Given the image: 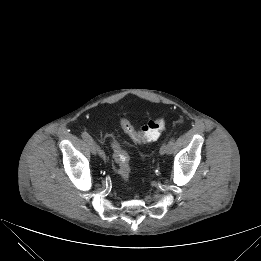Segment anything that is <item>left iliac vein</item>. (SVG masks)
<instances>
[{
    "instance_id": "obj_1",
    "label": "left iliac vein",
    "mask_w": 261,
    "mask_h": 261,
    "mask_svg": "<svg viewBox=\"0 0 261 261\" xmlns=\"http://www.w3.org/2000/svg\"><path fill=\"white\" fill-rule=\"evenodd\" d=\"M160 155H165L166 153H168V144L164 143L159 151Z\"/></svg>"
}]
</instances>
